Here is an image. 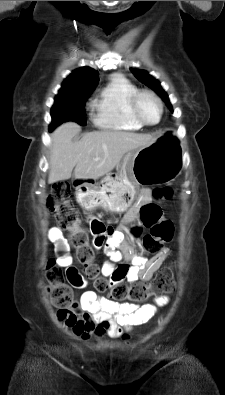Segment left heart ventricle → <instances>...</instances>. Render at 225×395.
<instances>
[{
	"label": "left heart ventricle",
	"instance_id": "b2bd125f",
	"mask_svg": "<svg viewBox=\"0 0 225 395\" xmlns=\"http://www.w3.org/2000/svg\"><path fill=\"white\" fill-rule=\"evenodd\" d=\"M140 113L142 117L150 123L156 122L159 117V109L156 102L149 98L144 97L140 102Z\"/></svg>",
	"mask_w": 225,
	"mask_h": 395
}]
</instances>
